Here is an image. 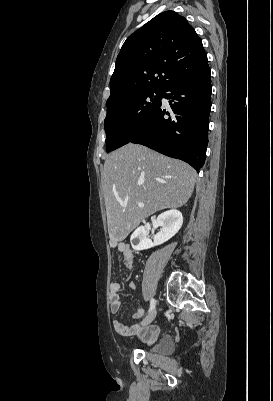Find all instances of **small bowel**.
I'll use <instances>...</instances> for the list:
<instances>
[{"label": "small bowel", "instance_id": "small-bowel-1", "mask_svg": "<svg viewBox=\"0 0 273 401\" xmlns=\"http://www.w3.org/2000/svg\"><path fill=\"white\" fill-rule=\"evenodd\" d=\"M113 249L119 251L122 254L124 266L127 270H132L134 267V254L128 244L121 241H114L111 243ZM130 289H135L136 285L133 281L128 282ZM121 286L118 282L112 281L109 285L110 291V312L117 314L121 310V298H120ZM145 303L150 304L153 301L152 296L147 295L144 298ZM145 316V309L140 307L137 308L133 313V318L137 323L127 325L119 319H114L112 322L114 330L125 337H138L148 343L154 342L159 335V329L155 326H149L141 322Z\"/></svg>", "mask_w": 273, "mask_h": 401}]
</instances>
